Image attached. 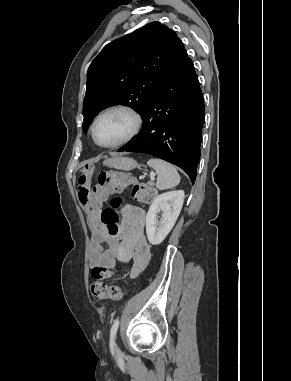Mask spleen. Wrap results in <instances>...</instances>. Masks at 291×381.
<instances>
[{
  "mask_svg": "<svg viewBox=\"0 0 291 381\" xmlns=\"http://www.w3.org/2000/svg\"><path fill=\"white\" fill-rule=\"evenodd\" d=\"M157 173L156 187L159 190H166L177 186L180 183V175L176 168L170 163L161 159L152 158L147 162Z\"/></svg>",
  "mask_w": 291,
  "mask_h": 381,
  "instance_id": "spleen-1",
  "label": "spleen"
}]
</instances>
